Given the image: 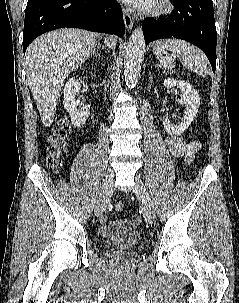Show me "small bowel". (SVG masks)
Wrapping results in <instances>:
<instances>
[{"label":"small bowel","mask_w":239,"mask_h":303,"mask_svg":"<svg viewBox=\"0 0 239 303\" xmlns=\"http://www.w3.org/2000/svg\"><path fill=\"white\" fill-rule=\"evenodd\" d=\"M166 145L172 155L182 158L185 164L193 160L195 153L200 149V143L197 140L186 139L182 136H169L166 138ZM134 218H138L135 216ZM132 220H120L116 223L109 222L106 216L100 219V233L103 236H110L119 231H133L139 223Z\"/></svg>","instance_id":"small-bowel-1"}]
</instances>
